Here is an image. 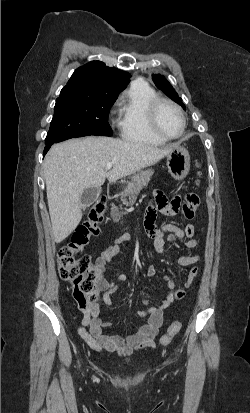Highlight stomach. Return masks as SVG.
Segmentation results:
<instances>
[{
  "instance_id": "obj_1",
  "label": "stomach",
  "mask_w": 250,
  "mask_h": 413,
  "mask_svg": "<svg viewBox=\"0 0 250 413\" xmlns=\"http://www.w3.org/2000/svg\"><path fill=\"white\" fill-rule=\"evenodd\" d=\"M167 167L171 176L178 181L186 178L190 170V157L183 147L175 149L167 155Z\"/></svg>"
}]
</instances>
